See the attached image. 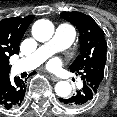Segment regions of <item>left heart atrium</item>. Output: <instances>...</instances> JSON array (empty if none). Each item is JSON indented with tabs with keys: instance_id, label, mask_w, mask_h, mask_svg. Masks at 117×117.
Wrapping results in <instances>:
<instances>
[{
	"instance_id": "left-heart-atrium-1",
	"label": "left heart atrium",
	"mask_w": 117,
	"mask_h": 117,
	"mask_svg": "<svg viewBox=\"0 0 117 117\" xmlns=\"http://www.w3.org/2000/svg\"><path fill=\"white\" fill-rule=\"evenodd\" d=\"M59 65V60L58 59H53L49 62V67L50 68H55Z\"/></svg>"
}]
</instances>
